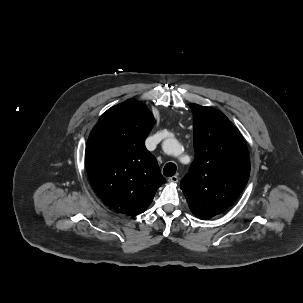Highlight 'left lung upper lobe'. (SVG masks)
Here are the masks:
<instances>
[{
    "mask_svg": "<svg viewBox=\"0 0 303 303\" xmlns=\"http://www.w3.org/2000/svg\"><path fill=\"white\" fill-rule=\"evenodd\" d=\"M194 114L195 159L180 187L197 217H215L231 207L250 173L246 144L220 111L197 104Z\"/></svg>",
    "mask_w": 303,
    "mask_h": 303,
    "instance_id": "5c2ea615",
    "label": "left lung upper lobe"
}]
</instances>
